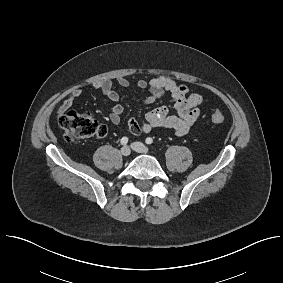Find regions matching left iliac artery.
Wrapping results in <instances>:
<instances>
[{"instance_id": "1", "label": "left iliac artery", "mask_w": 283, "mask_h": 283, "mask_svg": "<svg viewBox=\"0 0 283 283\" xmlns=\"http://www.w3.org/2000/svg\"><path fill=\"white\" fill-rule=\"evenodd\" d=\"M146 144H148V145H150V144H152L153 143V139L152 138H150V137H148V138H146Z\"/></svg>"}]
</instances>
